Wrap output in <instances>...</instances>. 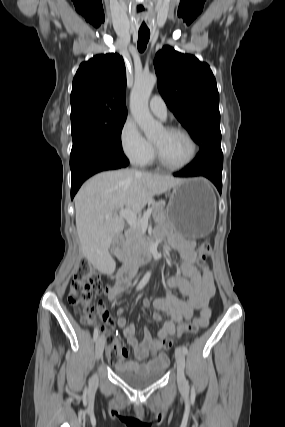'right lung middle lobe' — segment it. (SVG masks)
I'll return each mask as SVG.
<instances>
[{"label": "right lung middle lobe", "mask_w": 285, "mask_h": 427, "mask_svg": "<svg viewBox=\"0 0 285 427\" xmlns=\"http://www.w3.org/2000/svg\"><path fill=\"white\" fill-rule=\"evenodd\" d=\"M127 114L84 113L71 117L73 146L70 168L87 152L102 150L124 155L121 131Z\"/></svg>", "instance_id": "dd1d6c3e"}]
</instances>
